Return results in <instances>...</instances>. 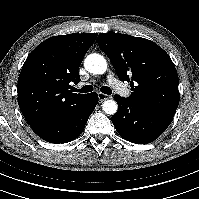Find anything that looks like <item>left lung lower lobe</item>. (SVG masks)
I'll use <instances>...</instances> for the list:
<instances>
[{
	"label": "left lung lower lobe",
	"mask_w": 199,
	"mask_h": 199,
	"mask_svg": "<svg viewBox=\"0 0 199 199\" xmlns=\"http://www.w3.org/2000/svg\"><path fill=\"white\" fill-rule=\"evenodd\" d=\"M118 111L112 122L125 140L136 144H147L156 140L170 125L171 116L145 108L129 98L115 95Z\"/></svg>",
	"instance_id": "left-lung-lower-lobe-1"
}]
</instances>
